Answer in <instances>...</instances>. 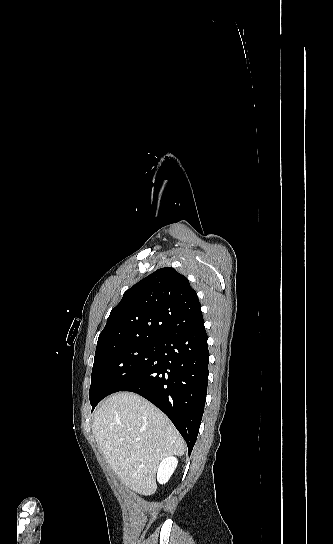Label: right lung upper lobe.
I'll list each match as a JSON object with an SVG mask.
<instances>
[{
  "label": "right lung upper lobe",
  "instance_id": "obj_1",
  "mask_svg": "<svg viewBox=\"0 0 333 544\" xmlns=\"http://www.w3.org/2000/svg\"><path fill=\"white\" fill-rule=\"evenodd\" d=\"M202 317L188 279L174 268H160L124 293L99 335L95 354L132 342L158 341Z\"/></svg>",
  "mask_w": 333,
  "mask_h": 544
}]
</instances>
